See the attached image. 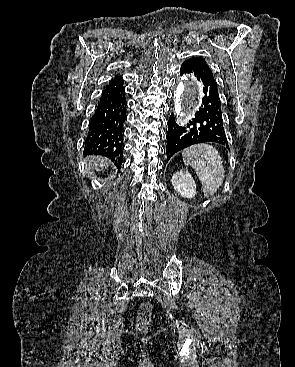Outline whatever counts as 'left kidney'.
I'll return each mask as SVG.
<instances>
[{
  "label": "left kidney",
  "instance_id": "obj_1",
  "mask_svg": "<svg viewBox=\"0 0 295 367\" xmlns=\"http://www.w3.org/2000/svg\"><path fill=\"white\" fill-rule=\"evenodd\" d=\"M174 190L184 198H194L196 195V184L191 174L187 171H179L173 174L171 179Z\"/></svg>",
  "mask_w": 295,
  "mask_h": 367
}]
</instances>
